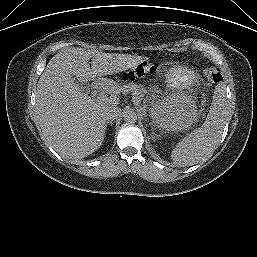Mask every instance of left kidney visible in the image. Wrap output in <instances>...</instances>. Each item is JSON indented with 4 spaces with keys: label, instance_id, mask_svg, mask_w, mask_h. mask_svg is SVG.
Segmentation results:
<instances>
[{
    "label": "left kidney",
    "instance_id": "obj_1",
    "mask_svg": "<svg viewBox=\"0 0 257 257\" xmlns=\"http://www.w3.org/2000/svg\"><path fill=\"white\" fill-rule=\"evenodd\" d=\"M150 113L153 123L167 131L185 130L197 120L193 100L183 94H173L154 103Z\"/></svg>",
    "mask_w": 257,
    "mask_h": 257
}]
</instances>
